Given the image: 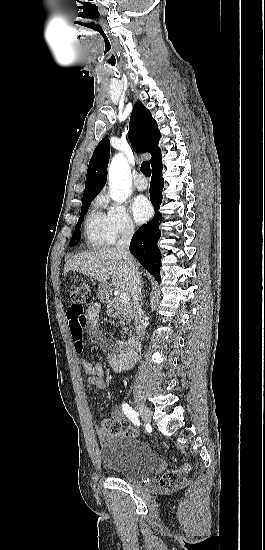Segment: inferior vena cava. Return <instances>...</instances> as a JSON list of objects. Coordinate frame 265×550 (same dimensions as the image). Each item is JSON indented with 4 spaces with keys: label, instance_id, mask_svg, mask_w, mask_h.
Segmentation results:
<instances>
[{
    "label": "inferior vena cava",
    "instance_id": "inferior-vena-cava-1",
    "mask_svg": "<svg viewBox=\"0 0 265 550\" xmlns=\"http://www.w3.org/2000/svg\"><path fill=\"white\" fill-rule=\"evenodd\" d=\"M134 233V226L131 223L126 224L122 231L121 238L116 244V249L126 265L131 279V295L133 300V318L135 320V330L139 339L143 340L145 334V321L140 299V278L135 261L129 252V245Z\"/></svg>",
    "mask_w": 265,
    "mask_h": 550
}]
</instances>
